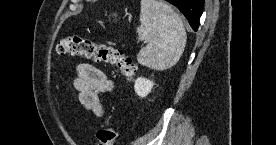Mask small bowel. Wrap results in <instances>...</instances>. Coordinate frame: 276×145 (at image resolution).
<instances>
[{"label":"small bowel","instance_id":"c3829d8e","mask_svg":"<svg viewBox=\"0 0 276 145\" xmlns=\"http://www.w3.org/2000/svg\"><path fill=\"white\" fill-rule=\"evenodd\" d=\"M73 87L78 92L80 103L96 116H102L101 96L114 89V82L108 76L89 63L78 64Z\"/></svg>","mask_w":276,"mask_h":145}]
</instances>
